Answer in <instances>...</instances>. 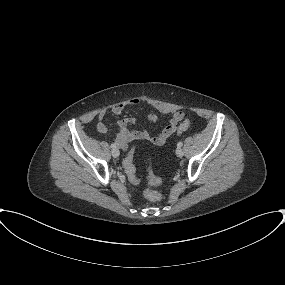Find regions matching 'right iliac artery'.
Listing matches in <instances>:
<instances>
[{
	"mask_svg": "<svg viewBox=\"0 0 285 285\" xmlns=\"http://www.w3.org/2000/svg\"><path fill=\"white\" fill-rule=\"evenodd\" d=\"M111 148H112V149H115V148H116V145H115V144H111Z\"/></svg>",
	"mask_w": 285,
	"mask_h": 285,
	"instance_id": "right-iliac-artery-1",
	"label": "right iliac artery"
}]
</instances>
